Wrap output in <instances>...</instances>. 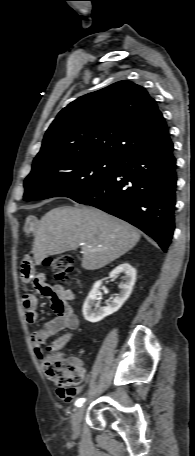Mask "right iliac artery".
Listing matches in <instances>:
<instances>
[{"label":"right iliac artery","mask_w":195,"mask_h":456,"mask_svg":"<svg viewBox=\"0 0 195 456\" xmlns=\"http://www.w3.org/2000/svg\"><path fill=\"white\" fill-rule=\"evenodd\" d=\"M85 401H86L85 398H79V399L76 400L75 405L78 406V407H79V406H82V404H83Z\"/></svg>","instance_id":"1"}]
</instances>
